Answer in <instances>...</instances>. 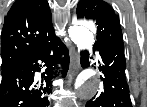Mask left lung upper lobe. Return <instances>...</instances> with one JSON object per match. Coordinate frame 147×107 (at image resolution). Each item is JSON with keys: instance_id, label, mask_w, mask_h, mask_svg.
Instances as JSON below:
<instances>
[{"instance_id": "obj_1", "label": "left lung upper lobe", "mask_w": 147, "mask_h": 107, "mask_svg": "<svg viewBox=\"0 0 147 107\" xmlns=\"http://www.w3.org/2000/svg\"><path fill=\"white\" fill-rule=\"evenodd\" d=\"M77 17L92 19L97 25V41L94 48L123 40L119 18L113 8L103 0H80Z\"/></svg>"}]
</instances>
